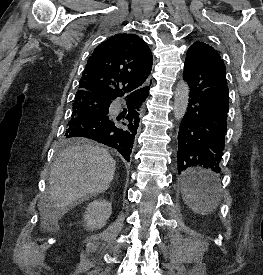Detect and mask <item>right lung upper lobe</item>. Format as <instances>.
I'll return each instance as SVG.
<instances>
[{
	"mask_svg": "<svg viewBox=\"0 0 263 275\" xmlns=\"http://www.w3.org/2000/svg\"><path fill=\"white\" fill-rule=\"evenodd\" d=\"M152 63V53L142 38L135 34H116L94 49L76 96L93 94L109 101L123 96L146 81Z\"/></svg>",
	"mask_w": 263,
	"mask_h": 275,
	"instance_id": "obj_1",
	"label": "right lung upper lobe"
}]
</instances>
